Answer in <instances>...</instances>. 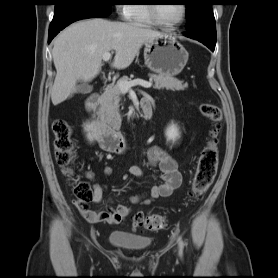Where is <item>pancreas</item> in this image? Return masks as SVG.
Listing matches in <instances>:
<instances>
[{
  "label": "pancreas",
  "mask_w": 278,
  "mask_h": 278,
  "mask_svg": "<svg viewBox=\"0 0 278 278\" xmlns=\"http://www.w3.org/2000/svg\"><path fill=\"white\" fill-rule=\"evenodd\" d=\"M150 77L155 82V89L165 88L172 91H181L188 87L186 83L184 84L183 81L170 75L159 74L150 75ZM120 81L130 82V79L124 76ZM120 95L121 90L119 89L118 84L108 86L102 95L100 114L106 122L112 125H116L115 120H118L119 123L121 121V116L119 114Z\"/></svg>",
  "instance_id": "1"
}]
</instances>
